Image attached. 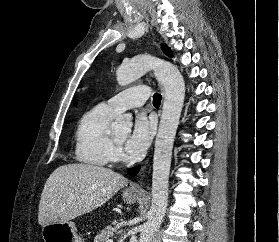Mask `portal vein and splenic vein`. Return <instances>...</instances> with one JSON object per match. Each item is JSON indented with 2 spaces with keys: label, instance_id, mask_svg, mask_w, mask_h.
<instances>
[{
  "label": "portal vein and splenic vein",
  "instance_id": "1",
  "mask_svg": "<svg viewBox=\"0 0 279 242\" xmlns=\"http://www.w3.org/2000/svg\"><path fill=\"white\" fill-rule=\"evenodd\" d=\"M107 242H113V239H108Z\"/></svg>",
  "mask_w": 279,
  "mask_h": 242
}]
</instances>
